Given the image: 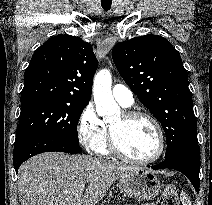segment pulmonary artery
<instances>
[{"label": "pulmonary artery", "mask_w": 212, "mask_h": 205, "mask_svg": "<svg viewBox=\"0 0 212 205\" xmlns=\"http://www.w3.org/2000/svg\"><path fill=\"white\" fill-rule=\"evenodd\" d=\"M112 95L124 107L131 106L134 102L132 91L123 84L114 85Z\"/></svg>", "instance_id": "obj_1"}]
</instances>
